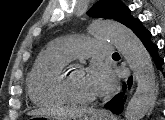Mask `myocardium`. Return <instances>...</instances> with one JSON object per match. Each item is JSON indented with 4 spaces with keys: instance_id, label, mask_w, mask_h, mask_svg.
Masks as SVG:
<instances>
[{
    "instance_id": "f54148a6",
    "label": "myocardium",
    "mask_w": 165,
    "mask_h": 120,
    "mask_svg": "<svg viewBox=\"0 0 165 120\" xmlns=\"http://www.w3.org/2000/svg\"><path fill=\"white\" fill-rule=\"evenodd\" d=\"M84 69L81 64H67L66 67L63 69L61 78H60V90L62 94L66 97V99L73 103L79 104H93L97 102L98 98H86L81 97L74 93L70 86V73L73 69Z\"/></svg>"
}]
</instances>
